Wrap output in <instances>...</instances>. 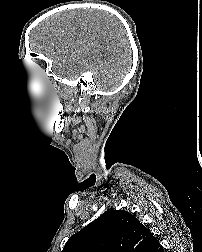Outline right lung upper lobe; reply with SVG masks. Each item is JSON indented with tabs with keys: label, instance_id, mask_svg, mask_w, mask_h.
Masks as SVG:
<instances>
[{
	"label": "right lung upper lobe",
	"instance_id": "obj_1",
	"mask_svg": "<svg viewBox=\"0 0 202 252\" xmlns=\"http://www.w3.org/2000/svg\"><path fill=\"white\" fill-rule=\"evenodd\" d=\"M148 228L131 213L108 209L74 234L62 252H162Z\"/></svg>",
	"mask_w": 202,
	"mask_h": 252
}]
</instances>
